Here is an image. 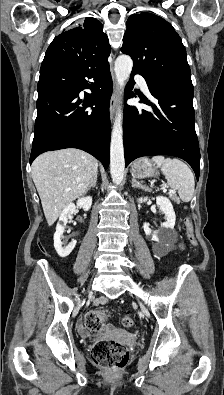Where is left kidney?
<instances>
[{
    "mask_svg": "<svg viewBox=\"0 0 224 395\" xmlns=\"http://www.w3.org/2000/svg\"><path fill=\"white\" fill-rule=\"evenodd\" d=\"M148 200V197H140L137 201L139 203L146 202ZM156 203L159 207V209L165 214V222L163 223L162 227L160 230L152 231L149 228V224L145 223L143 225L144 232L147 236H151L152 241H159L160 235H162L164 232L167 230H172L175 225V212L172 206V203L167 197L164 196H157L156 197Z\"/></svg>",
    "mask_w": 224,
    "mask_h": 395,
    "instance_id": "5707ae66",
    "label": "left kidney"
}]
</instances>
